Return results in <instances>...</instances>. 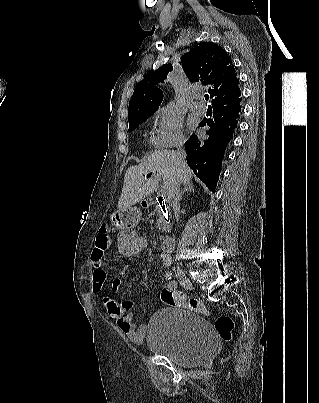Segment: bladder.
Listing matches in <instances>:
<instances>
[{"instance_id": "31cf9c89", "label": "bladder", "mask_w": 319, "mask_h": 403, "mask_svg": "<svg viewBox=\"0 0 319 403\" xmlns=\"http://www.w3.org/2000/svg\"><path fill=\"white\" fill-rule=\"evenodd\" d=\"M147 327L146 346L156 355L185 367L203 365L219 348L208 322L184 309H159Z\"/></svg>"}]
</instances>
